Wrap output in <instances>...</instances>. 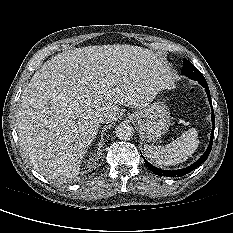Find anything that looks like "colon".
Here are the masks:
<instances>
[{
  "label": "colon",
  "instance_id": "colon-1",
  "mask_svg": "<svg viewBox=\"0 0 233 233\" xmlns=\"http://www.w3.org/2000/svg\"><path fill=\"white\" fill-rule=\"evenodd\" d=\"M186 90L190 94L194 93V88H192V87H188Z\"/></svg>",
  "mask_w": 233,
  "mask_h": 233
}]
</instances>
